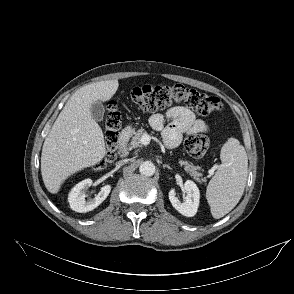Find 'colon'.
Instances as JSON below:
<instances>
[{
	"label": "colon",
	"instance_id": "5ec220e1",
	"mask_svg": "<svg viewBox=\"0 0 294 294\" xmlns=\"http://www.w3.org/2000/svg\"><path fill=\"white\" fill-rule=\"evenodd\" d=\"M131 98L143 112H155L173 103H184L203 115L223 109V103L217 96L182 84L143 85L132 90ZM120 126V113L115 104H110L105 122L107 153L103 160L104 164L114 160ZM209 143L206 135L194 133L187 136L184 146L190 156L200 158L207 152Z\"/></svg>",
	"mask_w": 294,
	"mask_h": 294
}]
</instances>
